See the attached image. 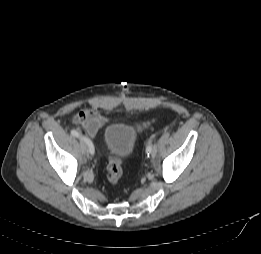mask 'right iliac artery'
I'll return each mask as SVG.
<instances>
[{"label":"right iliac artery","instance_id":"right-iliac-artery-1","mask_svg":"<svg viewBox=\"0 0 261 254\" xmlns=\"http://www.w3.org/2000/svg\"><path fill=\"white\" fill-rule=\"evenodd\" d=\"M71 134H72L74 137H78V138H80L82 141H84V142L87 144V146H88L89 152H90L91 154H94V152H95L94 145H93V143L91 142L90 139H88V138L85 137V136H82V135H81L77 130H75V129L71 130Z\"/></svg>","mask_w":261,"mask_h":254}]
</instances>
